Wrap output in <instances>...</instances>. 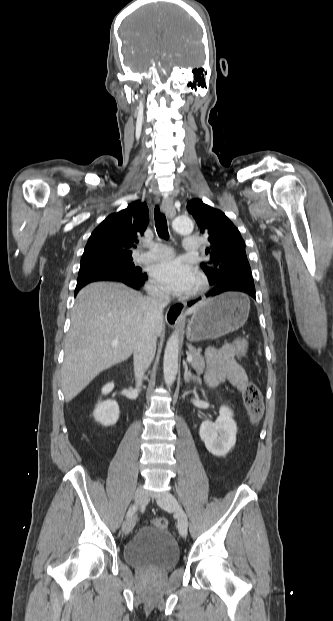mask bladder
I'll return each mask as SVG.
<instances>
[{
  "instance_id": "obj_1",
  "label": "bladder",
  "mask_w": 333,
  "mask_h": 621,
  "mask_svg": "<svg viewBox=\"0 0 333 621\" xmlns=\"http://www.w3.org/2000/svg\"><path fill=\"white\" fill-rule=\"evenodd\" d=\"M123 557L136 568L166 570L177 563L179 548L167 529L144 526L125 544Z\"/></svg>"
}]
</instances>
